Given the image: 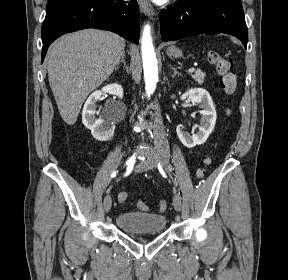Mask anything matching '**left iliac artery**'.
Masks as SVG:
<instances>
[{
	"instance_id": "obj_1",
	"label": "left iliac artery",
	"mask_w": 288,
	"mask_h": 280,
	"mask_svg": "<svg viewBox=\"0 0 288 280\" xmlns=\"http://www.w3.org/2000/svg\"><path fill=\"white\" fill-rule=\"evenodd\" d=\"M158 169H159L160 173L162 174V178L163 179H168L169 178V175L165 174V172H164V170H163V168H162L160 163H158ZM168 183L171 184V192H173V196H177L178 198H181L182 194L180 193V191H178V184H172L173 183L172 179H169Z\"/></svg>"
}]
</instances>
